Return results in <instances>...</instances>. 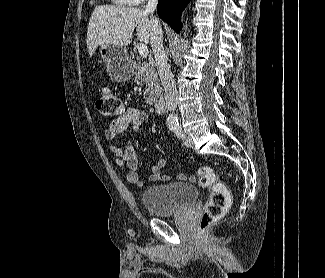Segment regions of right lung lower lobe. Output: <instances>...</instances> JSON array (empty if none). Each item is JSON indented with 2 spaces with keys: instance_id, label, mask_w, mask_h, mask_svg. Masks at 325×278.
Segmentation results:
<instances>
[{
  "instance_id": "right-lung-lower-lobe-1",
  "label": "right lung lower lobe",
  "mask_w": 325,
  "mask_h": 278,
  "mask_svg": "<svg viewBox=\"0 0 325 278\" xmlns=\"http://www.w3.org/2000/svg\"><path fill=\"white\" fill-rule=\"evenodd\" d=\"M190 0H159L157 12L159 17L169 24L175 32L182 29L181 13Z\"/></svg>"
}]
</instances>
